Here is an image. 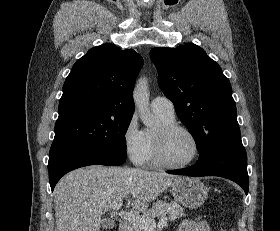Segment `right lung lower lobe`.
Returning a JSON list of instances; mask_svg holds the SVG:
<instances>
[{"instance_id": "obj_1", "label": "right lung lower lobe", "mask_w": 280, "mask_h": 231, "mask_svg": "<svg viewBox=\"0 0 280 231\" xmlns=\"http://www.w3.org/2000/svg\"><path fill=\"white\" fill-rule=\"evenodd\" d=\"M126 159L76 143H53L49 152V182L54 190L59 179L71 170L89 165L118 166Z\"/></svg>"}]
</instances>
